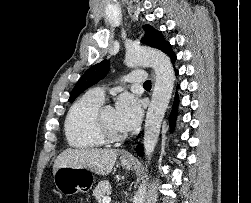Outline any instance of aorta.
<instances>
[{
	"label": "aorta",
	"mask_w": 251,
	"mask_h": 203,
	"mask_svg": "<svg viewBox=\"0 0 251 203\" xmlns=\"http://www.w3.org/2000/svg\"><path fill=\"white\" fill-rule=\"evenodd\" d=\"M125 63L129 67L151 66L156 75L144 131V151L149 163L159 138L162 120L172 96L175 81L174 70L170 58L162 51L153 48H137L128 51ZM145 195L146 183L143 180L133 202L143 203Z\"/></svg>",
	"instance_id": "obj_1"
}]
</instances>
